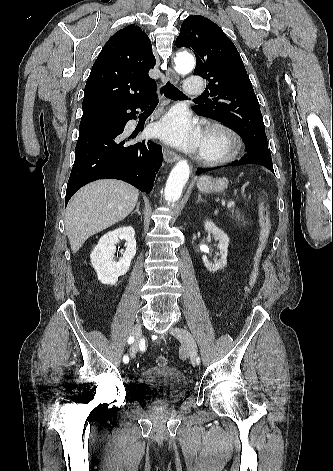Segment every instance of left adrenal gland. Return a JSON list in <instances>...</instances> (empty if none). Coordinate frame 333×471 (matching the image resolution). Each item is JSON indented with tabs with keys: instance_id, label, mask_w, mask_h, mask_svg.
<instances>
[{
	"instance_id": "left-adrenal-gland-1",
	"label": "left adrenal gland",
	"mask_w": 333,
	"mask_h": 471,
	"mask_svg": "<svg viewBox=\"0 0 333 471\" xmlns=\"http://www.w3.org/2000/svg\"><path fill=\"white\" fill-rule=\"evenodd\" d=\"M205 200L201 198V195L198 194V199L196 201V203H199V202H204Z\"/></svg>"
}]
</instances>
